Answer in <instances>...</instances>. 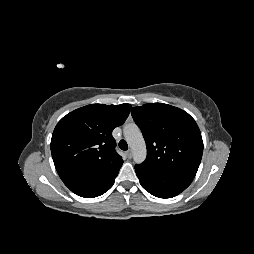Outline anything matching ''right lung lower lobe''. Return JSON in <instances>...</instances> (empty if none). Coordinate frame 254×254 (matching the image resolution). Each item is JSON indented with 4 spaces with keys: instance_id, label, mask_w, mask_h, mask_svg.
Instances as JSON below:
<instances>
[{
    "instance_id": "right-lung-lower-lobe-1",
    "label": "right lung lower lobe",
    "mask_w": 254,
    "mask_h": 254,
    "mask_svg": "<svg viewBox=\"0 0 254 254\" xmlns=\"http://www.w3.org/2000/svg\"><path fill=\"white\" fill-rule=\"evenodd\" d=\"M121 166L96 174L74 176L63 182L72 192L81 197H97L112 187Z\"/></svg>"
}]
</instances>
